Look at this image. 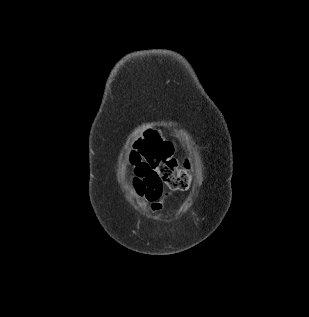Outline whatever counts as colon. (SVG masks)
I'll return each mask as SVG.
<instances>
[{"instance_id": "5ec220e1", "label": "colon", "mask_w": 309, "mask_h": 317, "mask_svg": "<svg viewBox=\"0 0 309 317\" xmlns=\"http://www.w3.org/2000/svg\"><path fill=\"white\" fill-rule=\"evenodd\" d=\"M150 167L154 184H165L175 191L186 190L191 182L188 163L180 164L173 157L172 145L162 139L156 131H148L139 144V153L133 156L132 161L139 159Z\"/></svg>"}]
</instances>
